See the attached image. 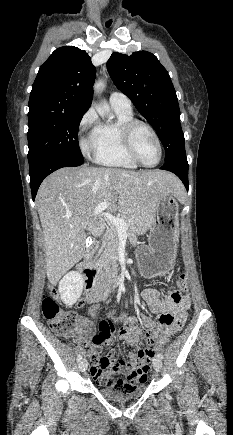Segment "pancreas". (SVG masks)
<instances>
[{
	"label": "pancreas",
	"mask_w": 233,
	"mask_h": 435,
	"mask_svg": "<svg viewBox=\"0 0 233 435\" xmlns=\"http://www.w3.org/2000/svg\"><path fill=\"white\" fill-rule=\"evenodd\" d=\"M122 219L129 224V236L131 239L136 238V233L131 226V221L127 218ZM119 247V232L115 226H111L107 233L103 245L97 255V261L100 267L105 269L110 268V265L115 264L117 260V251Z\"/></svg>",
	"instance_id": "cf45deb5"
}]
</instances>
